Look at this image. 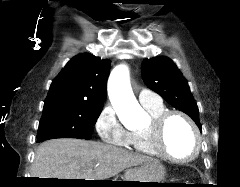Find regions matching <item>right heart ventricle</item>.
Wrapping results in <instances>:
<instances>
[{"mask_svg":"<svg viewBox=\"0 0 240 187\" xmlns=\"http://www.w3.org/2000/svg\"><path fill=\"white\" fill-rule=\"evenodd\" d=\"M151 118H156L165 111L163 104L156 106H144ZM133 151L149 155L157 156L158 154L153 150L146 128L136 129L129 133V145Z\"/></svg>","mask_w":240,"mask_h":187,"instance_id":"1","label":"right heart ventricle"}]
</instances>
